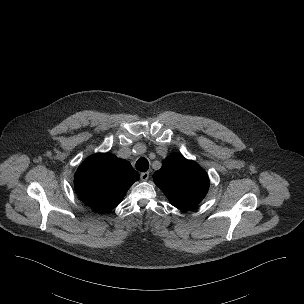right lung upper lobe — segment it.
Here are the masks:
<instances>
[{"label": "right lung upper lobe", "instance_id": "obj_1", "mask_svg": "<svg viewBox=\"0 0 304 304\" xmlns=\"http://www.w3.org/2000/svg\"><path fill=\"white\" fill-rule=\"evenodd\" d=\"M139 179L130 163L109 153L88 157L77 169L74 186L79 198L98 212H109Z\"/></svg>", "mask_w": 304, "mask_h": 304}]
</instances>
